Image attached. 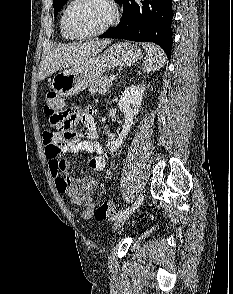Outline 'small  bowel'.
<instances>
[{
	"instance_id": "1",
	"label": "small bowel",
	"mask_w": 233,
	"mask_h": 294,
	"mask_svg": "<svg viewBox=\"0 0 233 294\" xmlns=\"http://www.w3.org/2000/svg\"><path fill=\"white\" fill-rule=\"evenodd\" d=\"M65 107L61 110H53L51 117H48L47 125L52 129L43 133L45 153L58 192L64 194L70 203L82 207L78 213L84 219H89L94 207L92 196L98 187V180L92 176L70 177L68 175L70 162L60 158V155L87 152L92 156L86 160V163L97 172L106 170V161L102 146L97 140L93 108L90 106L75 108V104H66ZM76 122L86 126L85 132H73ZM110 177L111 173L106 171L105 178Z\"/></svg>"
}]
</instances>
